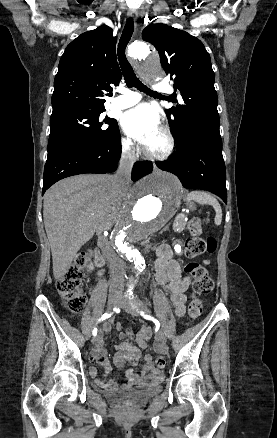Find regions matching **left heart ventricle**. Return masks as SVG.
<instances>
[{"label": "left heart ventricle", "mask_w": 277, "mask_h": 438, "mask_svg": "<svg viewBox=\"0 0 277 438\" xmlns=\"http://www.w3.org/2000/svg\"><path fill=\"white\" fill-rule=\"evenodd\" d=\"M166 147V141L164 136L159 133L151 142L149 143L147 147V152L151 154H160L165 150Z\"/></svg>", "instance_id": "left-heart-ventricle-1"}]
</instances>
